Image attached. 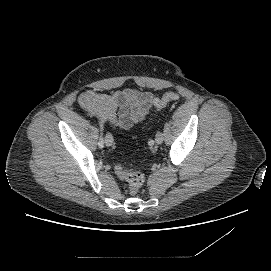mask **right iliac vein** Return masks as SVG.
<instances>
[{"label":"right iliac vein","instance_id":"1","mask_svg":"<svg viewBox=\"0 0 271 271\" xmlns=\"http://www.w3.org/2000/svg\"><path fill=\"white\" fill-rule=\"evenodd\" d=\"M113 143V138L111 136V134L107 133L105 136V144L106 146H111Z\"/></svg>","mask_w":271,"mask_h":271}]
</instances>
